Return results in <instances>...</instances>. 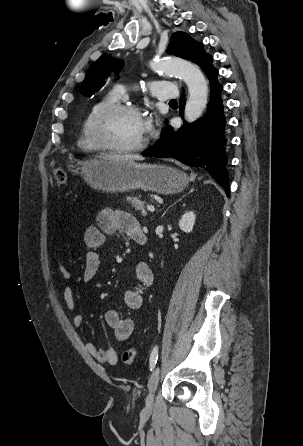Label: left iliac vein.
Wrapping results in <instances>:
<instances>
[{
    "mask_svg": "<svg viewBox=\"0 0 303 446\" xmlns=\"http://www.w3.org/2000/svg\"><path fill=\"white\" fill-rule=\"evenodd\" d=\"M159 375H160V368L157 367L155 368V370L152 372L149 381H148V396L146 398V405L148 408H150L152 406L153 403V399H154V393L156 391L158 382H159Z\"/></svg>",
    "mask_w": 303,
    "mask_h": 446,
    "instance_id": "obj_1",
    "label": "left iliac vein"
}]
</instances>
